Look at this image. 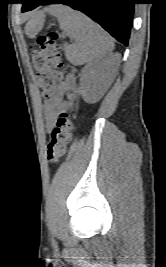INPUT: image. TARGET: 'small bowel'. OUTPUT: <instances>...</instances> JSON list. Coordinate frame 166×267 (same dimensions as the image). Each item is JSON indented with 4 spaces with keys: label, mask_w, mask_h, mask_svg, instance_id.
<instances>
[{
    "label": "small bowel",
    "mask_w": 166,
    "mask_h": 267,
    "mask_svg": "<svg viewBox=\"0 0 166 267\" xmlns=\"http://www.w3.org/2000/svg\"><path fill=\"white\" fill-rule=\"evenodd\" d=\"M74 81L73 76H68L59 83L48 97L45 103V121L48 128L55 124L58 112L65 107L63 96L73 86Z\"/></svg>",
    "instance_id": "1"
}]
</instances>
